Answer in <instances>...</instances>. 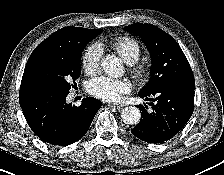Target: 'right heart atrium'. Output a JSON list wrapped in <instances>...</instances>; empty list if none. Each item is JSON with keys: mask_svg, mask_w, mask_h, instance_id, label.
Masks as SVG:
<instances>
[{"mask_svg": "<svg viewBox=\"0 0 224 175\" xmlns=\"http://www.w3.org/2000/svg\"><path fill=\"white\" fill-rule=\"evenodd\" d=\"M102 58V48L99 44H91L82 56V67L88 75L98 72Z\"/></svg>", "mask_w": 224, "mask_h": 175, "instance_id": "d8ad5b80", "label": "right heart atrium"}]
</instances>
